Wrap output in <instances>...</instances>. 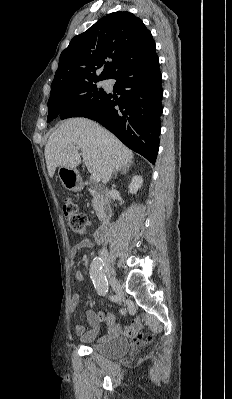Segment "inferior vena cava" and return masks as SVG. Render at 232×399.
<instances>
[{
    "instance_id": "inferior-vena-cava-1",
    "label": "inferior vena cava",
    "mask_w": 232,
    "mask_h": 399,
    "mask_svg": "<svg viewBox=\"0 0 232 399\" xmlns=\"http://www.w3.org/2000/svg\"><path fill=\"white\" fill-rule=\"evenodd\" d=\"M100 255H101V258L103 259V262L104 263H107L108 262V255H109V248L108 247H101L100 248Z\"/></svg>"
}]
</instances>
